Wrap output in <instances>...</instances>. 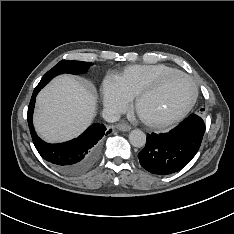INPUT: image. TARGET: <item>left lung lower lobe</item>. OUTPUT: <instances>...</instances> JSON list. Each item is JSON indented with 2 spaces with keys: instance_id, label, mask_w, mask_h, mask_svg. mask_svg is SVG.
Here are the masks:
<instances>
[{
  "instance_id": "left-lung-lower-lobe-1",
  "label": "left lung lower lobe",
  "mask_w": 234,
  "mask_h": 234,
  "mask_svg": "<svg viewBox=\"0 0 234 234\" xmlns=\"http://www.w3.org/2000/svg\"><path fill=\"white\" fill-rule=\"evenodd\" d=\"M204 132L202 117L191 114L168 133L148 134L146 145L138 154L141 166L159 175L181 170L197 153Z\"/></svg>"
}]
</instances>
